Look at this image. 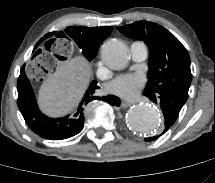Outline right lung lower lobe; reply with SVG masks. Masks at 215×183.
<instances>
[{"label":"right lung lower lobe","mask_w":215,"mask_h":183,"mask_svg":"<svg viewBox=\"0 0 215 183\" xmlns=\"http://www.w3.org/2000/svg\"><path fill=\"white\" fill-rule=\"evenodd\" d=\"M99 88L97 82L92 81L78 107L72 114L57 119L50 118L38 109L33 89L25 74L24 66H22L17 82V104L27 125L33 132L45 139L63 140L78 134L82 130L84 111L89 102L102 100L110 105H120V99L116 96H97L96 91Z\"/></svg>","instance_id":"98d812e1"}]
</instances>
